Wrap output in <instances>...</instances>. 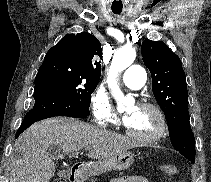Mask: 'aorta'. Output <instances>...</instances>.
<instances>
[{
    "label": "aorta",
    "instance_id": "762f6f07",
    "mask_svg": "<svg viewBox=\"0 0 211 182\" xmlns=\"http://www.w3.org/2000/svg\"><path fill=\"white\" fill-rule=\"evenodd\" d=\"M136 52L133 48L123 47L115 52L108 73V87L117 102L118 107L125 101V96L121 91L117 77L120 72L129 67L135 60Z\"/></svg>",
    "mask_w": 211,
    "mask_h": 182
}]
</instances>
